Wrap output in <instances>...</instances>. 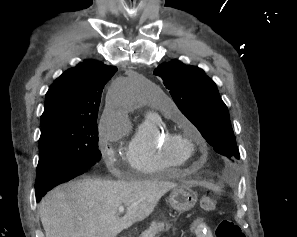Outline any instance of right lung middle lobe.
<instances>
[{"instance_id": "obj_1", "label": "right lung middle lobe", "mask_w": 297, "mask_h": 237, "mask_svg": "<svg viewBox=\"0 0 297 237\" xmlns=\"http://www.w3.org/2000/svg\"><path fill=\"white\" fill-rule=\"evenodd\" d=\"M100 158L96 119L63 118L41 124L36 188H50L60 176L81 175Z\"/></svg>"}]
</instances>
